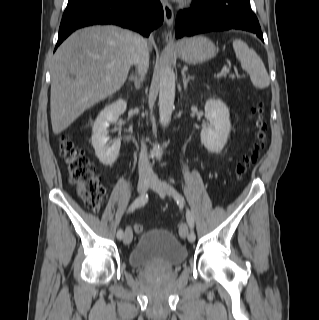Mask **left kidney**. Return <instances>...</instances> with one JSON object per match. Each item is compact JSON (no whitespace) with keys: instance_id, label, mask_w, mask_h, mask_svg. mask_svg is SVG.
<instances>
[{"instance_id":"left-kidney-1","label":"left kidney","mask_w":319,"mask_h":320,"mask_svg":"<svg viewBox=\"0 0 319 320\" xmlns=\"http://www.w3.org/2000/svg\"><path fill=\"white\" fill-rule=\"evenodd\" d=\"M205 118L209 124L201 130V143L209 152L219 153L231 131L229 109L223 101L209 99L205 103Z\"/></svg>"}]
</instances>
